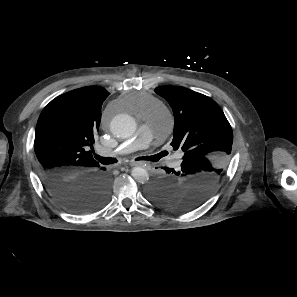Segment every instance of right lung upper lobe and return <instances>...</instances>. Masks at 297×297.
Segmentation results:
<instances>
[{
  "label": "right lung upper lobe",
  "mask_w": 297,
  "mask_h": 297,
  "mask_svg": "<svg viewBox=\"0 0 297 297\" xmlns=\"http://www.w3.org/2000/svg\"><path fill=\"white\" fill-rule=\"evenodd\" d=\"M108 95L102 87H83L56 97L44 108L34 141L41 171L77 175L99 167L86 149L92 148Z\"/></svg>",
  "instance_id": "1"
}]
</instances>
